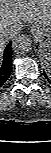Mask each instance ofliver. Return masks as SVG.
<instances>
[{"mask_svg":"<svg viewBox=\"0 0 51 153\" xmlns=\"http://www.w3.org/2000/svg\"><path fill=\"white\" fill-rule=\"evenodd\" d=\"M51 24V0H0V49L26 24Z\"/></svg>","mask_w":51,"mask_h":153,"instance_id":"obj_1","label":"liver"}]
</instances>
